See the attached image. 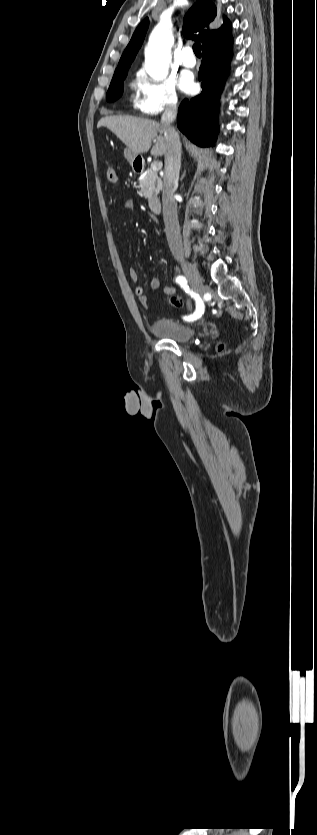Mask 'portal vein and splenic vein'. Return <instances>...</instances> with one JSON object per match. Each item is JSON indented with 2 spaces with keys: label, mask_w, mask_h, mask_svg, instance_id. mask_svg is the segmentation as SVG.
Returning <instances> with one entry per match:
<instances>
[{
  "label": "portal vein and splenic vein",
  "mask_w": 317,
  "mask_h": 835,
  "mask_svg": "<svg viewBox=\"0 0 317 835\" xmlns=\"http://www.w3.org/2000/svg\"><path fill=\"white\" fill-rule=\"evenodd\" d=\"M162 166H163V164H162L161 161H155L151 164V169L154 170V171L160 170L162 168Z\"/></svg>",
  "instance_id": "1"
}]
</instances>
